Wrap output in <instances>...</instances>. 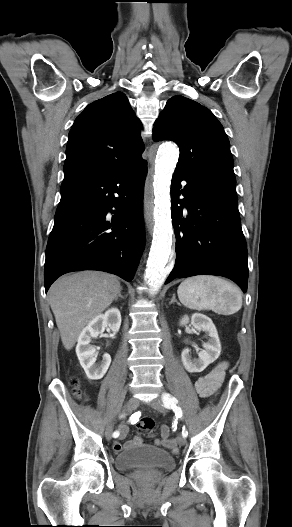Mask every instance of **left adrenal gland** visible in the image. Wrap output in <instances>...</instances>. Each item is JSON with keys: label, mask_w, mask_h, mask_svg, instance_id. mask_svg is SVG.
I'll use <instances>...</instances> for the list:
<instances>
[{"label": "left adrenal gland", "mask_w": 292, "mask_h": 527, "mask_svg": "<svg viewBox=\"0 0 292 527\" xmlns=\"http://www.w3.org/2000/svg\"><path fill=\"white\" fill-rule=\"evenodd\" d=\"M172 303H177L178 305H180V303L176 300L175 294H173L172 299L169 304H172Z\"/></svg>", "instance_id": "left-adrenal-gland-1"}]
</instances>
